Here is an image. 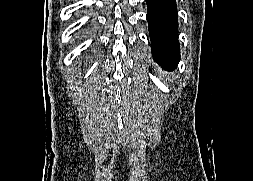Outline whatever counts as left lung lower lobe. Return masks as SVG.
Returning a JSON list of instances; mask_svg holds the SVG:
<instances>
[{"instance_id":"1","label":"left lung lower lobe","mask_w":253,"mask_h":181,"mask_svg":"<svg viewBox=\"0 0 253 181\" xmlns=\"http://www.w3.org/2000/svg\"><path fill=\"white\" fill-rule=\"evenodd\" d=\"M146 3L153 58L162 68L174 70L180 59L176 0H146Z\"/></svg>"}]
</instances>
